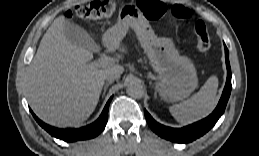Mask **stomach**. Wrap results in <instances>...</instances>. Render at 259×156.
Returning <instances> with one entry per match:
<instances>
[{
  "instance_id": "1",
  "label": "stomach",
  "mask_w": 259,
  "mask_h": 156,
  "mask_svg": "<svg viewBox=\"0 0 259 156\" xmlns=\"http://www.w3.org/2000/svg\"><path fill=\"white\" fill-rule=\"evenodd\" d=\"M129 27L135 30L152 68L159 75L156 88L161 98L170 102L187 98L198 85L192 61L178 53L172 40L157 37L143 14L133 5L120 10L117 24L108 32L121 41Z\"/></svg>"
}]
</instances>
